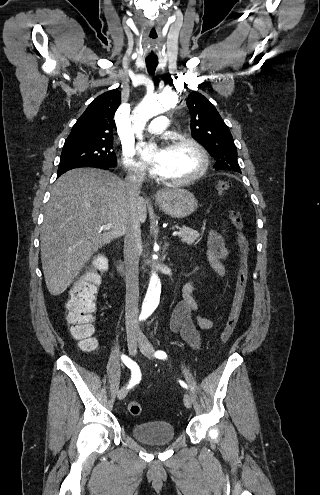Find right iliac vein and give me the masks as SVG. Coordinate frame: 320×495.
Wrapping results in <instances>:
<instances>
[{
    "label": "right iliac vein",
    "instance_id": "obj_1",
    "mask_svg": "<svg viewBox=\"0 0 320 495\" xmlns=\"http://www.w3.org/2000/svg\"><path fill=\"white\" fill-rule=\"evenodd\" d=\"M137 340H138L137 335H135L134 333L129 332L127 334L128 350L130 355L132 356H135L137 352ZM126 395H127V387L124 386L123 388H121V390H119L117 397L119 400H123L126 397Z\"/></svg>",
    "mask_w": 320,
    "mask_h": 495
}]
</instances>
